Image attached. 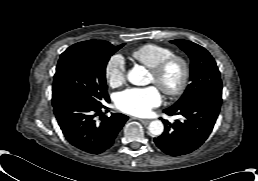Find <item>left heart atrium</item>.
<instances>
[{"label":"left heart atrium","instance_id":"39dd6f15","mask_svg":"<svg viewBox=\"0 0 258 181\" xmlns=\"http://www.w3.org/2000/svg\"><path fill=\"white\" fill-rule=\"evenodd\" d=\"M161 93L156 86L130 88L117 95L116 105L119 110L135 115L145 116L160 105Z\"/></svg>","mask_w":258,"mask_h":181}]
</instances>
